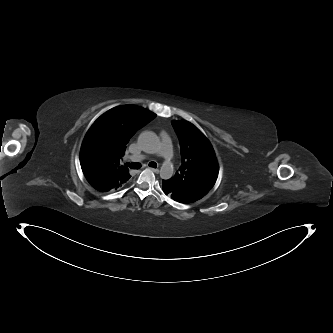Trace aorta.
<instances>
[{
	"mask_svg": "<svg viewBox=\"0 0 333 333\" xmlns=\"http://www.w3.org/2000/svg\"><path fill=\"white\" fill-rule=\"evenodd\" d=\"M138 143L147 152H153L159 148V139L152 131H144L138 137ZM172 168L168 161H164L160 169V177L162 179H169L172 176Z\"/></svg>",
	"mask_w": 333,
	"mask_h": 333,
	"instance_id": "762f6f07",
	"label": "aorta"
}]
</instances>
